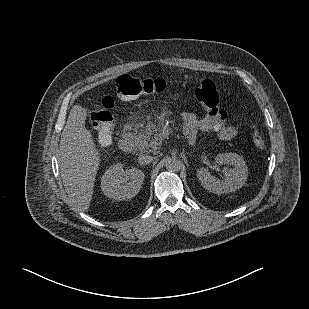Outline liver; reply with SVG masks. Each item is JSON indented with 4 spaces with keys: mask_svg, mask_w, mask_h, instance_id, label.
<instances>
[{
    "mask_svg": "<svg viewBox=\"0 0 309 309\" xmlns=\"http://www.w3.org/2000/svg\"><path fill=\"white\" fill-rule=\"evenodd\" d=\"M87 113L81 105H74L61 133L59 166L65 191L82 211H87L99 166V152L92 134L85 126Z\"/></svg>",
    "mask_w": 309,
    "mask_h": 309,
    "instance_id": "liver-1",
    "label": "liver"
}]
</instances>
